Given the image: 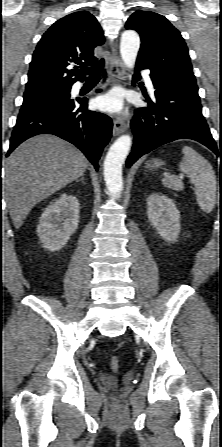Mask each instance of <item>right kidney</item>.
I'll return each mask as SVG.
<instances>
[{
  "mask_svg": "<svg viewBox=\"0 0 222 447\" xmlns=\"http://www.w3.org/2000/svg\"><path fill=\"white\" fill-rule=\"evenodd\" d=\"M79 201L75 196L62 194L44 210L37 226V234L43 248L60 250L77 230Z\"/></svg>",
  "mask_w": 222,
  "mask_h": 447,
  "instance_id": "right-kidney-1",
  "label": "right kidney"
}]
</instances>
